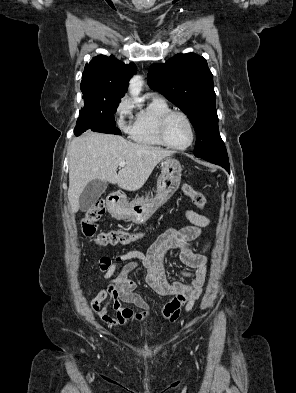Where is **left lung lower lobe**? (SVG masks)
Here are the masks:
<instances>
[{"instance_id": "obj_1", "label": "left lung lower lobe", "mask_w": 296, "mask_h": 393, "mask_svg": "<svg viewBox=\"0 0 296 393\" xmlns=\"http://www.w3.org/2000/svg\"><path fill=\"white\" fill-rule=\"evenodd\" d=\"M205 159L211 163L217 164L222 166L228 173H230V166L228 155H213V156H206V157H199Z\"/></svg>"}]
</instances>
